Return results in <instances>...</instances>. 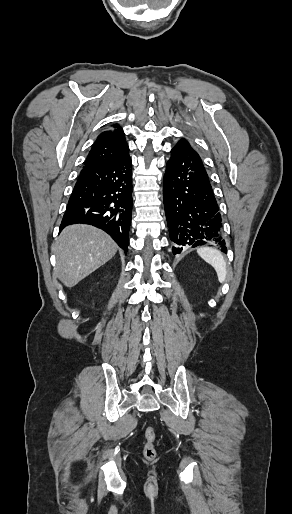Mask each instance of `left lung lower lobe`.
I'll list each match as a JSON object with an SVG mask.
<instances>
[{
    "label": "left lung lower lobe",
    "instance_id": "left-lung-lower-lobe-1",
    "mask_svg": "<svg viewBox=\"0 0 292 514\" xmlns=\"http://www.w3.org/2000/svg\"><path fill=\"white\" fill-rule=\"evenodd\" d=\"M164 208L174 255L185 246L227 252L222 219L201 157L185 139L171 150L163 181Z\"/></svg>",
    "mask_w": 292,
    "mask_h": 514
}]
</instances>
